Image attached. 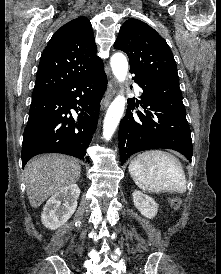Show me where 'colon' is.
<instances>
[{"instance_id": "1", "label": "colon", "mask_w": 221, "mask_h": 274, "mask_svg": "<svg viewBox=\"0 0 221 274\" xmlns=\"http://www.w3.org/2000/svg\"><path fill=\"white\" fill-rule=\"evenodd\" d=\"M179 199H177V198H174L173 200H172V204L175 206V207H177L178 205H179Z\"/></svg>"}]
</instances>
